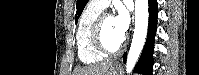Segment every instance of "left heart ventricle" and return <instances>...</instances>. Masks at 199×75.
Returning <instances> with one entry per match:
<instances>
[{"instance_id":"b2bd125f","label":"left heart ventricle","mask_w":199,"mask_h":75,"mask_svg":"<svg viewBox=\"0 0 199 75\" xmlns=\"http://www.w3.org/2000/svg\"><path fill=\"white\" fill-rule=\"evenodd\" d=\"M102 39L106 47L116 48L123 40L118 34L113 23V17L107 16L102 27Z\"/></svg>"}]
</instances>
